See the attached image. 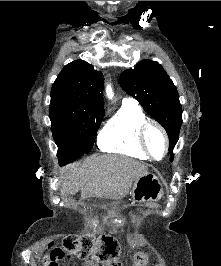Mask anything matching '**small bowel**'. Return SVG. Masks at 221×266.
Instances as JSON below:
<instances>
[{"label": "small bowel", "instance_id": "1", "mask_svg": "<svg viewBox=\"0 0 221 266\" xmlns=\"http://www.w3.org/2000/svg\"><path fill=\"white\" fill-rule=\"evenodd\" d=\"M66 246H52V251H66ZM71 252H51V257L49 258V263L47 266H61L59 262L65 261V258L61 257H71ZM76 266V264H73ZM81 266H99L95 261H86L81 264Z\"/></svg>", "mask_w": 221, "mask_h": 266}]
</instances>
